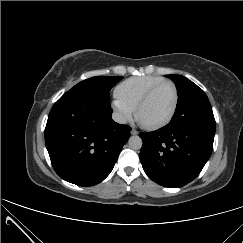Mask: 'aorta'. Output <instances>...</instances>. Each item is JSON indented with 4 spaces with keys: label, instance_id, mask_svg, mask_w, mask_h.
I'll use <instances>...</instances> for the list:
<instances>
[{
    "label": "aorta",
    "instance_id": "aorta-1",
    "mask_svg": "<svg viewBox=\"0 0 243 243\" xmlns=\"http://www.w3.org/2000/svg\"><path fill=\"white\" fill-rule=\"evenodd\" d=\"M128 145L130 148L138 150L142 147V139L139 136H131Z\"/></svg>",
    "mask_w": 243,
    "mask_h": 243
}]
</instances>
